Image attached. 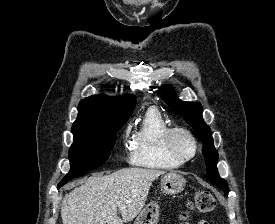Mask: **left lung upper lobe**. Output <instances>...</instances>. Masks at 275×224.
Listing matches in <instances>:
<instances>
[{
	"label": "left lung upper lobe",
	"mask_w": 275,
	"mask_h": 224,
	"mask_svg": "<svg viewBox=\"0 0 275 224\" xmlns=\"http://www.w3.org/2000/svg\"><path fill=\"white\" fill-rule=\"evenodd\" d=\"M163 100L169 105L171 110L182 115L186 122L197 130L203 137V155L207 166V175L209 179L223 191L228 193L227 182L219 176L217 170L218 152L215 150L210 128L202 119V106L200 103L183 102L178 99L174 89L170 86L162 87Z\"/></svg>",
	"instance_id": "left-lung-upper-lobe-1"
}]
</instances>
